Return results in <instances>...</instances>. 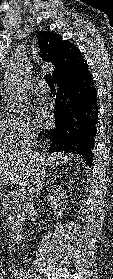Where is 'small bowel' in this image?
I'll return each instance as SVG.
<instances>
[{"label":"small bowel","mask_w":113,"mask_h":279,"mask_svg":"<svg viewBox=\"0 0 113 279\" xmlns=\"http://www.w3.org/2000/svg\"><path fill=\"white\" fill-rule=\"evenodd\" d=\"M0 279H5V272L2 268H0Z\"/></svg>","instance_id":"obj_1"}]
</instances>
